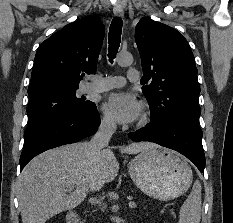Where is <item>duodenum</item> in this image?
Wrapping results in <instances>:
<instances>
[{"mask_svg":"<svg viewBox=\"0 0 233 223\" xmlns=\"http://www.w3.org/2000/svg\"><path fill=\"white\" fill-rule=\"evenodd\" d=\"M67 223H80V218L75 211H69L66 215Z\"/></svg>","mask_w":233,"mask_h":223,"instance_id":"410a0bca","label":"duodenum"}]
</instances>
